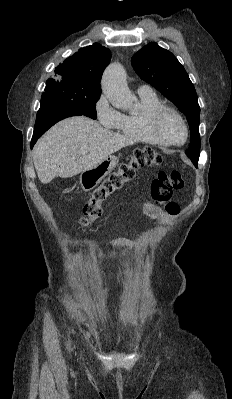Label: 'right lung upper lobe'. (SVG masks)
Masks as SVG:
<instances>
[{"label": "right lung upper lobe", "instance_id": "1", "mask_svg": "<svg viewBox=\"0 0 232 399\" xmlns=\"http://www.w3.org/2000/svg\"><path fill=\"white\" fill-rule=\"evenodd\" d=\"M110 60V50L95 43L83 47L66 59L56 68L55 77L47 81L59 82L87 91L101 92V77Z\"/></svg>", "mask_w": 232, "mask_h": 399}]
</instances>
